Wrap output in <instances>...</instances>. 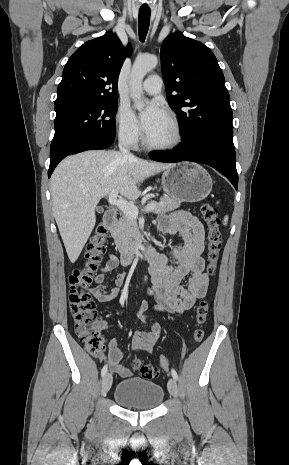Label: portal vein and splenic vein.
<instances>
[{"instance_id":"1","label":"portal vein and splenic vein","mask_w":289,"mask_h":465,"mask_svg":"<svg viewBox=\"0 0 289 465\" xmlns=\"http://www.w3.org/2000/svg\"><path fill=\"white\" fill-rule=\"evenodd\" d=\"M108 202L110 205L116 206L119 208L126 216H128L131 219H136L138 217V208L132 204L127 202L126 200L123 199H118V190H113L109 194V199ZM156 208L155 204H148L144 208V212H151Z\"/></svg>"}]
</instances>
